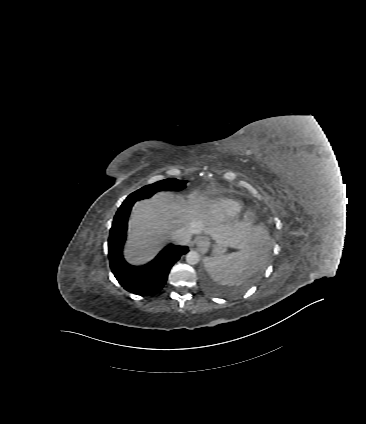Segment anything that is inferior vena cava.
<instances>
[{"label": "inferior vena cava", "instance_id": "inferior-vena-cava-1", "mask_svg": "<svg viewBox=\"0 0 366 424\" xmlns=\"http://www.w3.org/2000/svg\"><path fill=\"white\" fill-rule=\"evenodd\" d=\"M193 233L194 231L191 229L180 228L171 234V239L176 244L184 245L190 242Z\"/></svg>", "mask_w": 366, "mask_h": 424}]
</instances>
